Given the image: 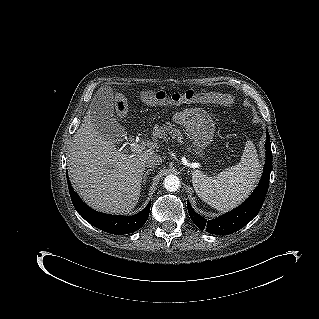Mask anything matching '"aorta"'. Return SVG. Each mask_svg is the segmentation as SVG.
I'll list each match as a JSON object with an SVG mask.
<instances>
[{
  "instance_id": "obj_1",
  "label": "aorta",
  "mask_w": 319,
  "mask_h": 319,
  "mask_svg": "<svg viewBox=\"0 0 319 319\" xmlns=\"http://www.w3.org/2000/svg\"><path fill=\"white\" fill-rule=\"evenodd\" d=\"M180 186V180L177 176L170 174L164 179V187L169 192H175Z\"/></svg>"
}]
</instances>
